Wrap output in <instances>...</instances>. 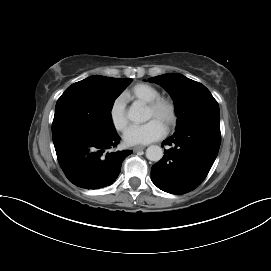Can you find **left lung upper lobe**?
Wrapping results in <instances>:
<instances>
[{
  "mask_svg": "<svg viewBox=\"0 0 271 271\" xmlns=\"http://www.w3.org/2000/svg\"><path fill=\"white\" fill-rule=\"evenodd\" d=\"M165 88L175 102L176 131L199 123H220L219 105L201 83L181 74H164L148 79Z\"/></svg>",
  "mask_w": 271,
  "mask_h": 271,
  "instance_id": "left-lung-upper-lobe-1",
  "label": "left lung upper lobe"
}]
</instances>
